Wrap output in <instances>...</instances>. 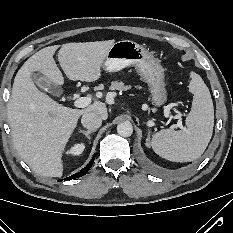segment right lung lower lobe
<instances>
[{
    "instance_id": "right-lung-lower-lobe-1",
    "label": "right lung lower lobe",
    "mask_w": 233,
    "mask_h": 233,
    "mask_svg": "<svg viewBox=\"0 0 233 233\" xmlns=\"http://www.w3.org/2000/svg\"><path fill=\"white\" fill-rule=\"evenodd\" d=\"M94 160H95V156L92 158L90 163L82 171H80L78 173H75L74 175H71V176L65 178L64 180H71V179H75V178H78V177H81V176L85 175L89 171L91 166L93 165Z\"/></svg>"
}]
</instances>
